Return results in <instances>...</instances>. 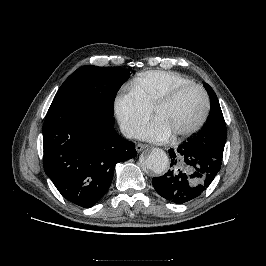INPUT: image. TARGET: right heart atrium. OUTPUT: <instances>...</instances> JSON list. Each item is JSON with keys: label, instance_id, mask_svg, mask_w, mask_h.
I'll use <instances>...</instances> for the list:
<instances>
[{"label": "right heart atrium", "instance_id": "1", "mask_svg": "<svg viewBox=\"0 0 266 266\" xmlns=\"http://www.w3.org/2000/svg\"><path fill=\"white\" fill-rule=\"evenodd\" d=\"M114 112L122 132L128 137L133 136L151 116V109L131 89L116 95Z\"/></svg>", "mask_w": 266, "mask_h": 266}]
</instances>
